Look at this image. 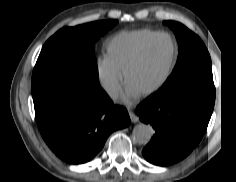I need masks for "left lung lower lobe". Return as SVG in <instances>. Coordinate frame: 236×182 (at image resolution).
Masks as SVG:
<instances>
[{"instance_id": "left-lung-lower-lobe-1", "label": "left lung lower lobe", "mask_w": 236, "mask_h": 182, "mask_svg": "<svg viewBox=\"0 0 236 182\" xmlns=\"http://www.w3.org/2000/svg\"><path fill=\"white\" fill-rule=\"evenodd\" d=\"M214 105L189 99L168 101L161 97L146 99L136 108L140 120L155 130L143 149L152 164L168 166L186 158L200 143Z\"/></svg>"}]
</instances>
